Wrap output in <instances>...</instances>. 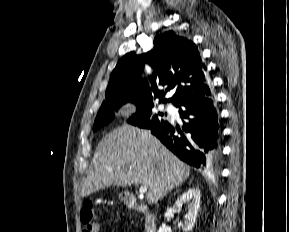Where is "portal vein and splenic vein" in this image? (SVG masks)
Returning a JSON list of instances; mask_svg holds the SVG:
<instances>
[{
    "instance_id": "portal-vein-and-splenic-vein-1",
    "label": "portal vein and splenic vein",
    "mask_w": 289,
    "mask_h": 232,
    "mask_svg": "<svg viewBox=\"0 0 289 232\" xmlns=\"http://www.w3.org/2000/svg\"><path fill=\"white\" fill-rule=\"evenodd\" d=\"M147 192V187L146 186H141L140 188H139V193L140 194H144V193H146Z\"/></svg>"
}]
</instances>
